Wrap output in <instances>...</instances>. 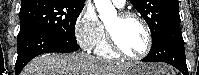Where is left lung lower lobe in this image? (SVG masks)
<instances>
[{
  "mask_svg": "<svg viewBox=\"0 0 199 75\" xmlns=\"http://www.w3.org/2000/svg\"><path fill=\"white\" fill-rule=\"evenodd\" d=\"M141 61L165 62L188 75L180 24L169 27L157 41L152 42L150 52Z\"/></svg>",
  "mask_w": 199,
  "mask_h": 75,
  "instance_id": "1",
  "label": "left lung lower lobe"
}]
</instances>
